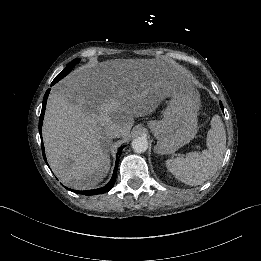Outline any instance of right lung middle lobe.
<instances>
[{"instance_id":"obj_1","label":"right lung middle lobe","mask_w":261,"mask_h":261,"mask_svg":"<svg viewBox=\"0 0 261 261\" xmlns=\"http://www.w3.org/2000/svg\"><path fill=\"white\" fill-rule=\"evenodd\" d=\"M80 62V59H74L73 61H71L67 66L66 68L61 72L59 73L55 79L53 80V84L57 83L59 80H61L63 77H65L72 69L73 67L75 66V64L79 63Z\"/></svg>"}]
</instances>
